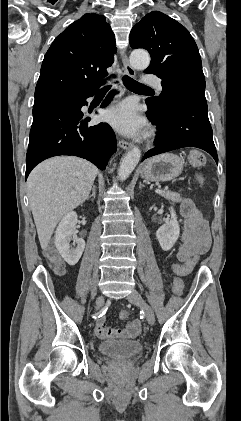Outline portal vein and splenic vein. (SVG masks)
<instances>
[{"mask_svg":"<svg viewBox=\"0 0 241 421\" xmlns=\"http://www.w3.org/2000/svg\"><path fill=\"white\" fill-rule=\"evenodd\" d=\"M157 193H161V190L160 189H156L155 190Z\"/></svg>","mask_w":241,"mask_h":421,"instance_id":"1","label":"portal vein and splenic vein"}]
</instances>
